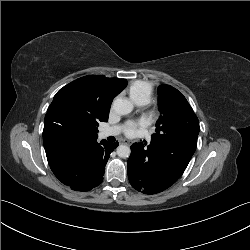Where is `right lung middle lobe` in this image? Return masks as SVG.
Wrapping results in <instances>:
<instances>
[{"label":"right lung middle lobe","mask_w":250,"mask_h":250,"mask_svg":"<svg viewBox=\"0 0 250 250\" xmlns=\"http://www.w3.org/2000/svg\"><path fill=\"white\" fill-rule=\"evenodd\" d=\"M53 116L58 128L72 136L95 135L98 122L107 121L95 115L85 105L83 90L79 85H67L53 99Z\"/></svg>","instance_id":"1"}]
</instances>
